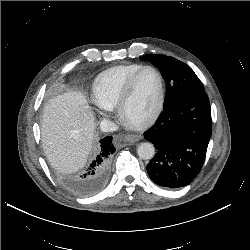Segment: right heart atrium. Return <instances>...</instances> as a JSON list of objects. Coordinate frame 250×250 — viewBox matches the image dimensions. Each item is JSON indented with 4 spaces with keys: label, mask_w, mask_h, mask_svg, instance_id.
I'll use <instances>...</instances> for the list:
<instances>
[{
    "label": "right heart atrium",
    "mask_w": 250,
    "mask_h": 250,
    "mask_svg": "<svg viewBox=\"0 0 250 250\" xmlns=\"http://www.w3.org/2000/svg\"><path fill=\"white\" fill-rule=\"evenodd\" d=\"M100 114H101V115H104V113H103V112H100Z\"/></svg>",
    "instance_id": "d8ad5b80"
}]
</instances>
